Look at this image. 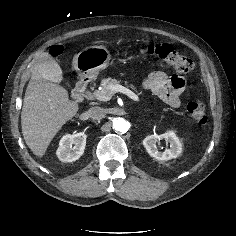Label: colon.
<instances>
[{
    "instance_id": "5ec220e1",
    "label": "colon",
    "mask_w": 236,
    "mask_h": 236,
    "mask_svg": "<svg viewBox=\"0 0 236 236\" xmlns=\"http://www.w3.org/2000/svg\"><path fill=\"white\" fill-rule=\"evenodd\" d=\"M60 49L55 48L53 53L58 55ZM143 53L151 58L157 59L172 66L179 74H188L194 69V63L188 57L178 53L169 44H151L144 48ZM187 112L191 118L200 125L208 122L206 108L202 103L189 102L186 106Z\"/></svg>"
}]
</instances>
